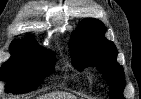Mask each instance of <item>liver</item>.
<instances>
[{
  "mask_svg": "<svg viewBox=\"0 0 141 99\" xmlns=\"http://www.w3.org/2000/svg\"><path fill=\"white\" fill-rule=\"evenodd\" d=\"M37 99H77L74 95L66 92H54L40 96Z\"/></svg>",
  "mask_w": 141,
  "mask_h": 99,
  "instance_id": "6515ba94",
  "label": "liver"
}]
</instances>
